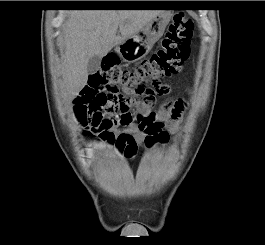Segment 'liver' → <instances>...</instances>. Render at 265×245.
Listing matches in <instances>:
<instances>
[{
    "instance_id": "6515ba94",
    "label": "liver",
    "mask_w": 265,
    "mask_h": 245,
    "mask_svg": "<svg viewBox=\"0 0 265 245\" xmlns=\"http://www.w3.org/2000/svg\"><path fill=\"white\" fill-rule=\"evenodd\" d=\"M159 10H73L69 13L64 45L63 83L75 98L87 84L89 59L108 54L125 39L138 33ZM119 29L120 34H117Z\"/></svg>"
}]
</instances>
